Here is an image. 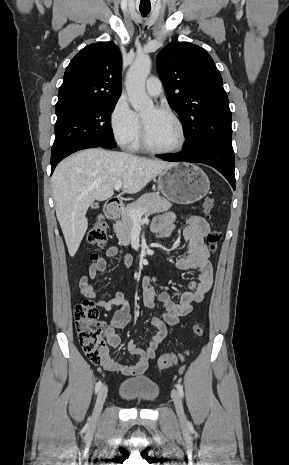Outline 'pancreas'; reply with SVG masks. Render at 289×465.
<instances>
[{"mask_svg":"<svg viewBox=\"0 0 289 465\" xmlns=\"http://www.w3.org/2000/svg\"><path fill=\"white\" fill-rule=\"evenodd\" d=\"M172 204L159 196L157 193H147L141 196L136 202L127 205L121 212V220L114 224V232L120 245L128 246L131 240V232L134 221L130 217V211L137 210L144 212L147 217L154 213L165 212L171 208Z\"/></svg>","mask_w":289,"mask_h":465,"instance_id":"pancreas-1","label":"pancreas"}]
</instances>
